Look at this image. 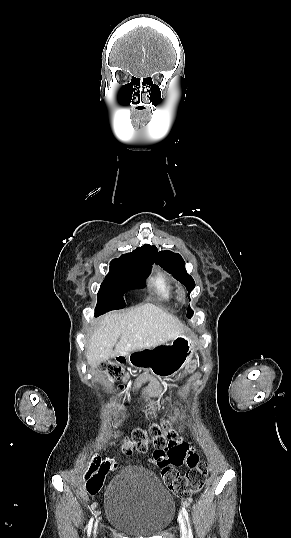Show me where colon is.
Returning <instances> with one entry per match:
<instances>
[{
	"label": "colon",
	"mask_w": 291,
	"mask_h": 538,
	"mask_svg": "<svg viewBox=\"0 0 291 538\" xmlns=\"http://www.w3.org/2000/svg\"><path fill=\"white\" fill-rule=\"evenodd\" d=\"M124 357L101 364L100 369L109 382L119 380L123 374ZM157 447L154 460L162 467V479L165 485L179 498H189L197 493L205 483L208 465L199 461L195 452L186 442H180L177 433L168 428L167 423H153L148 430L135 429L131 438L126 439L123 451L131 454L134 451L146 450L149 439ZM186 464L189 470L180 474L176 466ZM115 467L112 459H101L95 456L84 474L85 487L91 494L101 488L105 475Z\"/></svg>",
	"instance_id": "colon-1"
}]
</instances>
